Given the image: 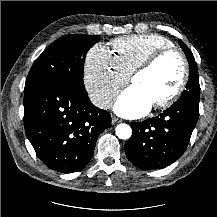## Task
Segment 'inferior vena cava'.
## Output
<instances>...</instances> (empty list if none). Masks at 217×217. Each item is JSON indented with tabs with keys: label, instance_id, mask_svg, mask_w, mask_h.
<instances>
[{
	"label": "inferior vena cava",
	"instance_id": "obj_1",
	"mask_svg": "<svg viewBox=\"0 0 217 217\" xmlns=\"http://www.w3.org/2000/svg\"><path fill=\"white\" fill-rule=\"evenodd\" d=\"M90 99L95 106L101 109H108L112 106L113 103V97L108 93L95 94L92 95Z\"/></svg>",
	"mask_w": 217,
	"mask_h": 217
}]
</instances>
